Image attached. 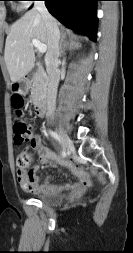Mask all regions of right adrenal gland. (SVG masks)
<instances>
[{
    "label": "right adrenal gland",
    "mask_w": 133,
    "mask_h": 253,
    "mask_svg": "<svg viewBox=\"0 0 133 253\" xmlns=\"http://www.w3.org/2000/svg\"><path fill=\"white\" fill-rule=\"evenodd\" d=\"M62 41H63V37H62ZM73 44H74L73 42L70 43L69 48H71L73 46ZM60 48H61V54H63V52H64L65 49H64V47H63L62 44L60 45Z\"/></svg>",
    "instance_id": "2a0ac1e0"
}]
</instances>
